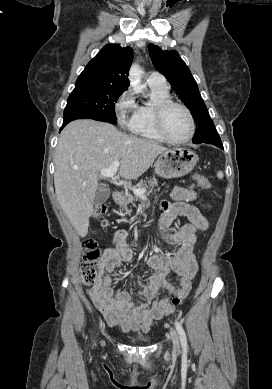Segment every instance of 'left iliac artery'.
Masks as SVG:
<instances>
[{
    "mask_svg": "<svg viewBox=\"0 0 272 389\" xmlns=\"http://www.w3.org/2000/svg\"><path fill=\"white\" fill-rule=\"evenodd\" d=\"M175 327H176V330H177V332L179 334V338H180V341H181L182 349H183L184 352H187L188 346H187V338H186L185 331H184L181 323L178 322V321H175Z\"/></svg>",
    "mask_w": 272,
    "mask_h": 389,
    "instance_id": "1",
    "label": "left iliac artery"
}]
</instances>
